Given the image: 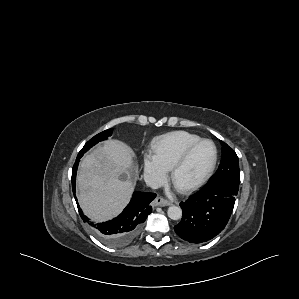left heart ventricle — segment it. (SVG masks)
<instances>
[{
    "instance_id": "left-heart-ventricle-1",
    "label": "left heart ventricle",
    "mask_w": 299,
    "mask_h": 299,
    "mask_svg": "<svg viewBox=\"0 0 299 299\" xmlns=\"http://www.w3.org/2000/svg\"><path fill=\"white\" fill-rule=\"evenodd\" d=\"M214 159V148L209 143L200 145L191 155L187 164L177 175V183L180 186L189 185L209 170Z\"/></svg>"
}]
</instances>
